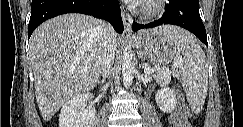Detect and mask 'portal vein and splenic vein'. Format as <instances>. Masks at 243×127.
Segmentation results:
<instances>
[{
    "label": "portal vein and splenic vein",
    "mask_w": 243,
    "mask_h": 127,
    "mask_svg": "<svg viewBox=\"0 0 243 127\" xmlns=\"http://www.w3.org/2000/svg\"><path fill=\"white\" fill-rule=\"evenodd\" d=\"M150 72H152V69L150 67L145 66L144 67V73L148 74ZM160 73L163 74L164 76H169V72L168 71H160Z\"/></svg>",
    "instance_id": "18ae733b"
}]
</instances>
